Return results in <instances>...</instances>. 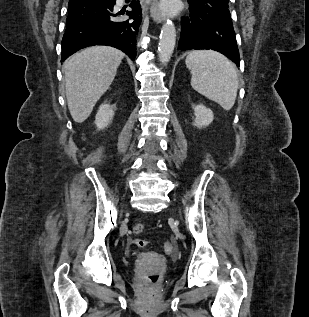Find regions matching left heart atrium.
I'll return each instance as SVG.
<instances>
[{"label":"left heart atrium","instance_id":"1","mask_svg":"<svg viewBox=\"0 0 309 317\" xmlns=\"http://www.w3.org/2000/svg\"><path fill=\"white\" fill-rule=\"evenodd\" d=\"M163 9L165 11H170L171 10V4L168 0H165L164 3H163Z\"/></svg>","mask_w":309,"mask_h":317}]
</instances>
